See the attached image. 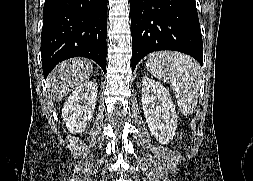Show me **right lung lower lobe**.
Here are the masks:
<instances>
[{
  "mask_svg": "<svg viewBox=\"0 0 253 181\" xmlns=\"http://www.w3.org/2000/svg\"><path fill=\"white\" fill-rule=\"evenodd\" d=\"M106 0H45L41 34L44 77L66 59L82 56L106 72Z\"/></svg>",
  "mask_w": 253,
  "mask_h": 181,
  "instance_id": "1",
  "label": "right lung lower lobe"
}]
</instances>
